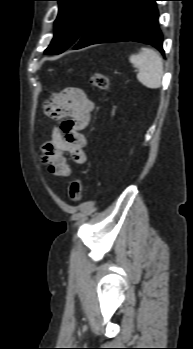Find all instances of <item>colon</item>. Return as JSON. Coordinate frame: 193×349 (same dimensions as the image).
<instances>
[{"mask_svg": "<svg viewBox=\"0 0 193 349\" xmlns=\"http://www.w3.org/2000/svg\"><path fill=\"white\" fill-rule=\"evenodd\" d=\"M91 84L94 88L107 91L110 87L109 78L102 73H95L91 77ZM68 194L71 200L80 201L83 198V182L80 179H74L68 186Z\"/></svg>", "mask_w": 193, "mask_h": 349, "instance_id": "5ec220e1", "label": "colon"}]
</instances>
